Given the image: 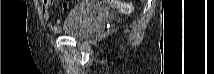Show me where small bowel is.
<instances>
[{
	"instance_id": "obj_1",
	"label": "small bowel",
	"mask_w": 214,
	"mask_h": 74,
	"mask_svg": "<svg viewBox=\"0 0 214 74\" xmlns=\"http://www.w3.org/2000/svg\"><path fill=\"white\" fill-rule=\"evenodd\" d=\"M50 5H51V1H41V9H42L43 17L51 31L60 32L61 31L60 20L54 19L51 17ZM69 9H70V5L68 3H64L62 5V11L66 12Z\"/></svg>"
}]
</instances>
